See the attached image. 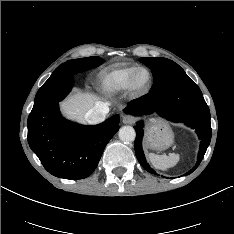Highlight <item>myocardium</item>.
I'll use <instances>...</instances> for the list:
<instances>
[{
    "mask_svg": "<svg viewBox=\"0 0 234 234\" xmlns=\"http://www.w3.org/2000/svg\"><path fill=\"white\" fill-rule=\"evenodd\" d=\"M142 71H146L149 74V83L146 88L138 89L136 87V78L138 74ZM153 82H154V77H153L152 72L146 67H139L129 79V82L126 88L128 96L130 98H138V97H142L146 95L151 90L153 86Z\"/></svg>",
    "mask_w": 234,
    "mask_h": 234,
    "instance_id": "f54148a6",
    "label": "myocardium"
}]
</instances>
